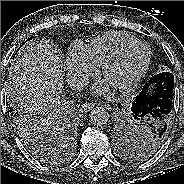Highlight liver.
Listing matches in <instances>:
<instances>
[{
    "instance_id": "6515ba94",
    "label": "liver",
    "mask_w": 184,
    "mask_h": 184,
    "mask_svg": "<svg viewBox=\"0 0 184 184\" xmlns=\"http://www.w3.org/2000/svg\"><path fill=\"white\" fill-rule=\"evenodd\" d=\"M12 100L31 111L57 107L63 91V65L54 47L32 40L17 54L8 75Z\"/></svg>"
}]
</instances>
